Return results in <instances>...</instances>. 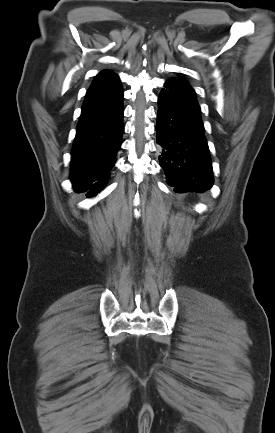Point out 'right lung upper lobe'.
Returning <instances> with one entry per match:
<instances>
[{"mask_svg": "<svg viewBox=\"0 0 275 433\" xmlns=\"http://www.w3.org/2000/svg\"><path fill=\"white\" fill-rule=\"evenodd\" d=\"M119 81H120V79L115 73H112L108 70H105L103 72H100L95 77V80L93 81L90 88L96 87V86H101V85H106V84H113V83H117Z\"/></svg>", "mask_w": 275, "mask_h": 433, "instance_id": "1", "label": "right lung upper lobe"}]
</instances>
